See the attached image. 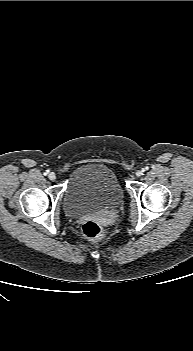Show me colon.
<instances>
[{"label": "colon", "mask_w": 193, "mask_h": 351, "mask_svg": "<svg viewBox=\"0 0 193 351\" xmlns=\"http://www.w3.org/2000/svg\"><path fill=\"white\" fill-rule=\"evenodd\" d=\"M81 232L86 239L91 241H100L104 237L102 225L95 220L85 222L81 227Z\"/></svg>", "instance_id": "colon-1"}]
</instances>
